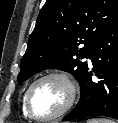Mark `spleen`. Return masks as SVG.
I'll return each instance as SVG.
<instances>
[{
    "label": "spleen",
    "mask_w": 118,
    "mask_h": 123,
    "mask_svg": "<svg viewBox=\"0 0 118 123\" xmlns=\"http://www.w3.org/2000/svg\"><path fill=\"white\" fill-rule=\"evenodd\" d=\"M86 123H116V122L107 118H91L88 119Z\"/></svg>",
    "instance_id": "spleen-1"
}]
</instances>
